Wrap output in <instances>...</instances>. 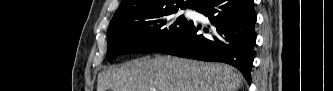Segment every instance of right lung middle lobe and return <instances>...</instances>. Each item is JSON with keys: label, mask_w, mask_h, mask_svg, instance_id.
<instances>
[{"label": "right lung middle lobe", "mask_w": 333, "mask_h": 91, "mask_svg": "<svg viewBox=\"0 0 333 91\" xmlns=\"http://www.w3.org/2000/svg\"><path fill=\"white\" fill-rule=\"evenodd\" d=\"M177 10L158 12L124 22L110 23L107 31L110 59L120 54L149 53L171 41L189 21Z\"/></svg>", "instance_id": "dd1d6c3e"}]
</instances>
